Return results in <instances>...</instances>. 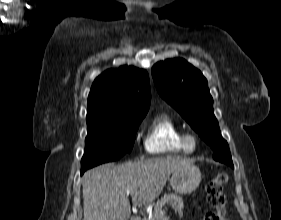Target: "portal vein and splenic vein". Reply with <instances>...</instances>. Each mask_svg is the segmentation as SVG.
Wrapping results in <instances>:
<instances>
[{
	"instance_id": "18ae733b",
	"label": "portal vein and splenic vein",
	"mask_w": 281,
	"mask_h": 220,
	"mask_svg": "<svg viewBox=\"0 0 281 220\" xmlns=\"http://www.w3.org/2000/svg\"><path fill=\"white\" fill-rule=\"evenodd\" d=\"M133 194H134L133 191H129V190L126 191V195H127V196H128V195H133ZM161 216H162V217L165 216V211H164V210L161 211Z\"/></svg>"
}]
</instances>
